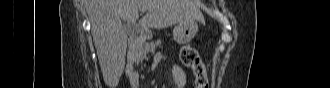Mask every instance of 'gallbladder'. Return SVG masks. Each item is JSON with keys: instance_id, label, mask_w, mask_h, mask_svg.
Returning a JSON list of instances; mask_svg holds the SVG:
<instances>
[{"instance_id": "obj_1", "label": "gallbladder", "mask_w": 330, "mask_h": 88, "mask_svg": "<svg viewBox=\"0 0 330 88\" xmlns=\"http://www.w3.org/2000/svg\"><path fill=\"white\" fill-rule=\"evenodd\" d=\"M125 29L128 35H131L135 31V26L130 24H125Z\"/></svg>"}]
</instances>
